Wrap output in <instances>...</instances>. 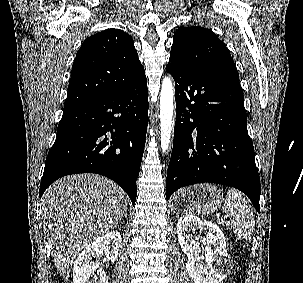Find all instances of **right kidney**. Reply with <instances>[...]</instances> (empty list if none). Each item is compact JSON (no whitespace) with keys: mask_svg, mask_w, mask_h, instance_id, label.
<instances>
[{"mask_svg":"<svg viewBox=\"0 0 303 283\" xmlns=\"http://www.w3.org/2000/svg\"><path fill=\"white\" fill-rule=\"evenodd\" d=\"M120 244V232L111 231L86 246L74 262L73 283H108L106 273L102 269L97 271V276L95 275L97 265L92 262V258L105 254V260L114 262ZM93 275H95L94 279H91Z\"/></svg>","mask_w":303,"mask_h":283,"instance_id":"obj_1","label":"right kidney"}]
</instances>
